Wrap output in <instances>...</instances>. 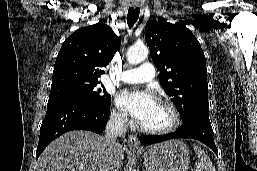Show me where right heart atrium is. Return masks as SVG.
I'll use <instances>...</instances> for the list:
<instances>
[{
  "label": "right heart atrium",
  "instance_id": "obj_1",
  "mask_svg": "<svg viewBox=\"0 0 257 171\" xmlns=\"http://www.w3.org/2000/svg\"><path fill=\"white\" fill-rule=\"evenodd\" d=\"M111 120L120 127H125L129 123L127 114L119 107H114L112 109Z\"/></svg>",
  "mask_w": 257,
  "mask_h": 171
}]
</instances>
